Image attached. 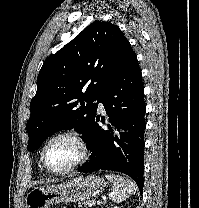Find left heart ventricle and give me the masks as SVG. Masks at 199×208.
<instances>
[{
    "mask_svg": "<svg viewBox=\"0 0 199 208\" xmlns=\"http://www.w3.org/2000/svg\"><path fill=\"white\" fill-rule=\"evenodd\" d=\"M80 156V148L75 141L70 138H60L52 141L45 152V158L49 167L62 169Z\"/></svg>",
    "mask_w": 199,
    "mask_h": 208,
    "instance_id": "left-heart-ventricle-1",
    "label": "left heart ventricle"
}]
</instances>
